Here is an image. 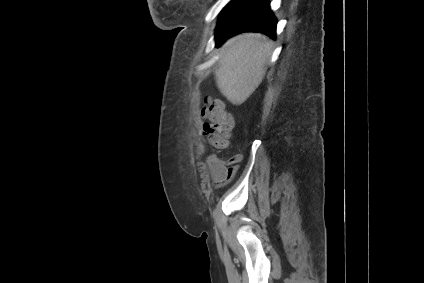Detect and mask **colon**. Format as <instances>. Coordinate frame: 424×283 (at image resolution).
<instances>
[{
    "instance_id": "1",
    "label": "colon",
    "mask_w": 424,
    "mask_h": 283,
    "mask_svg": "<svg viewBox=\"0 0 424 283\" xmlns=\"http://www.w3.org/2000/svg\"><path fill=\"white\" fill-rule=\"evenodd\" d=\"M201 112L209 120L202 133L205 140L215 148L227 147L232 118L223 104L217 101H207ZM211 161L212 156H209L208 162Z\"/></svg>"
}]
</instances>
